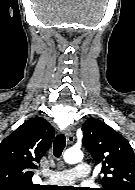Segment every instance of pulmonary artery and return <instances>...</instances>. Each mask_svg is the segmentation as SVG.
I'll list each match as a JSON object with an SVG mask.
<instances>
[{"label": "pulmonary artery", "mask_w": 135, "mask_h": 190, "mask_svg": "<svg viewBox=\"0 0 135 190\" xmlns=\"http://www.w3.org/2000/svg\"><path fill=\"white\" fill-rule=\"evenodd\" d=\"M89 174L90 166L87 163L81 162L76 164L72 169L50 172L48 182L57 185L70 184L78 179L87 178Z\"/></svg>", "instance_id": "obj_1"}]
</instances>
